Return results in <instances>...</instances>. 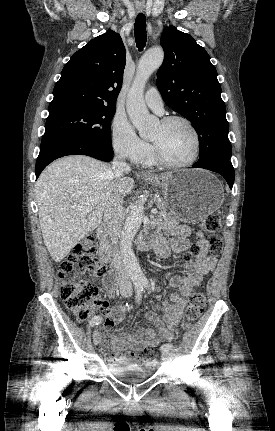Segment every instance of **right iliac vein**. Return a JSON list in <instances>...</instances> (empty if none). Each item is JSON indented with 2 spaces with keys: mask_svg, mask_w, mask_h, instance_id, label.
I'll use <instances>...</instances> for the list:
<instances>
[{
  "mask_svg": "<svg viewBox=\"0 0 275 431\" xmlns=\"http://www.w3.org/2000/svg\"><path fill=\"white\" fill-rule=\"evenodd\" d=\"M93 342L95 345H98L100 342V336L98 332L93 333Z\"/></svg>",
  "mask_w": 275,
  "mask_h": 431,
  "instance_id": "obj_1",
  "label": "right iliac vein"
}]
</instances>
